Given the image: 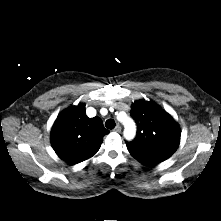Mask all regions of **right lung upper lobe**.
Segmentation results:
<instances>
[{"label": "right lung upper lobe", "instance_id": "1", "mask_svg": "<svg viewBox=\"0 0 221 221\" xmlns=\"http://www.w3.org/2000/svg\"><path fill=\"white\" fill-rule=\"evenodd\" d=\"M109 131L99 117L88 118L85 105L62 111L51 130V144L56 154L71 165L92 157Z\"/></svg>", "mask_w": 221, "mask_h": 221}]
</instances>
